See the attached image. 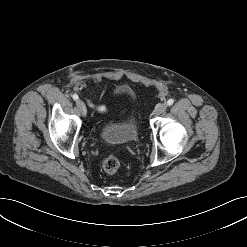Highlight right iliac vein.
Returning a JSON list of instances; mask_svg holds the SVG:
<instances>
[{"mask_svg":"<svg viewBox=\"0 0 247 247\" xmlns=\"http://www.w3.org/2000/svg\"><path fill=\"white\" fill-rule=\"evenodd\" d=\"M77 107L81 111L82 115H86L87 109H86V105L83 101L78 100L77 101Z\"/></svg>","mask_w":247,"mask_h":247,"instance_id":"1","label":"right iliac vein"}]
</instances>
